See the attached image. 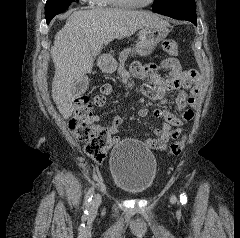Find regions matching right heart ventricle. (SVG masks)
Wrapping results in <instances>:
<instances>
[{"label":"right heart ventricle","mask_w":240,"mask_h":238,"mask_svg":"<svg viewBox=\"0 0 240 238\" xmlns=\"http://www.w3.org/2000/svg\"><path fill=\"white\" fill-rule=\"evenodd\" d=\"M98 5L100 6H119L115 0H102Z\"/></svg>","instance_id":"obj_1"}]
</instances>
